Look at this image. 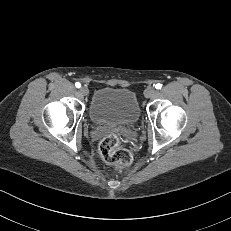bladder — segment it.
Masks as SVG:
<instances>
[{"mask_svg": "<svg viewBox=\"0 0 231 231\" xmlns=\"http://www.w3.org/2000/svg\"><path fill=\"white\" fill-rule=\"evenodd\" d=\"M89 116L99 125L132 126L140 116L139 103L128 88L103 87L93 94Z\"/></svg>", "mask_w": 231, "mask_h": 231, "instance_id": "1", "label": "bladder"}]
</instances>
